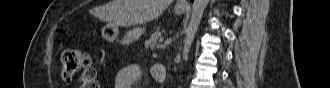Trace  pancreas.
I'll return each instance as SVG.
<instances>
[{"label": "pancreas", "instance_id": "pancreas-1", "mask_svg": "<svg viewBox=\"0 0 330 88\" xmlns=\"http://www.w3.org/2000/svg\"><path fill=\"white\" fill-rule=\"evenodd\" d=\"M161 39H162V33L156 31L151 35L150 39L146 41L145 46L150 49L162 48L163 46L160 45Z\"/></svg>", "mask_w": 330, "mask_h": 88}]
</instances>
